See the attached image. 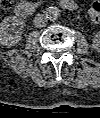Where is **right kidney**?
Masks as SVG:
<instances>
[{
    "instance_id": "ca27d5eb",
    "label": "right kidney",
    "mask_w": 100,
    "mask_h": 118,
    "mask_svg": "<svg viewBox=\"0 0 100 118\" xmlns=\"http://www.w3.org/2000/svg\"><path fill=\"white\" fill-rule=\"evenodd\" d=\"M23 24V19L17 16L4 18L0 22V43L11 47L18 44L21 39L20 29H16Z\"/></svg>"
}]
</instances>
